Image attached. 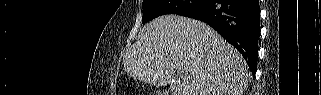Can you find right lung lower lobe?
<instances>
[{"label": "right lung lower lobe", "mask_w": 321, "mask_h": 95, "mask_svg": "<svg viewBox=\"0 0 321 95\" xmlns=\"http://www.w3.org/2000/svg\"><path fill=\"white\" fill-rule=\"evenodd\" d=\"M186 17L213 27L238 49L255 75L260 34L259 0H207L196 13Z\"/></svg>", "instance_id": "1"}]
</instances>
